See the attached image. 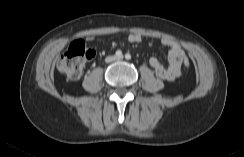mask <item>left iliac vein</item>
Returning <instances> with one entry per match:
<instances>
[{
  "instance_id": "obj_1",
  "label": "left iliac vein",
  "mask_w": 244,
  "mask_h": 157,
  "mask_svg": "<svg viewBox=\"0 0 244 157\" xmlns=\"http://www.w3.org/2000/svg\"><path fill=\"white\" fill-rule=\"evenodd\" d=\"M123 56L117 57L116 60H122Z\"/></svg>"
}]
</instances>
